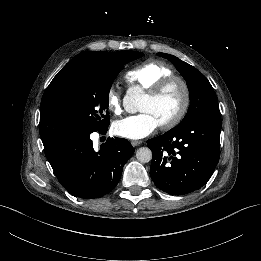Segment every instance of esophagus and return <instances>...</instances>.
I'll return each mask as SVG.
<instances>
[{
	"label": "esophagus",
	"mask_w": 261,
	"mask_h": 261,
	"mask_svg": "<svg viewBox=\"0 0 261 261\" xmlns=\"http://www.w3.org/2000/svg\"><path fill=\"white\" fill-rule=\"evenodd\" d=\"M141 143H142L141 140H132V141H131L132 146H138V145H140Z\"/></svg>",
	"instance_id": "1"
}]
</instances>
